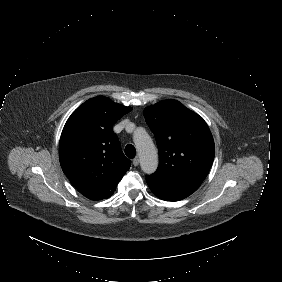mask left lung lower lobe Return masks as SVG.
Returning a JSON list of instances; mask_svg holds the SVG:
<instances>
[{
    "mask_svg": "<svg viewBox=\"0 0 282 282\" xmlns=\"http://www.w3.org/2000/svg\"><path fill=\"white\" fill-rule=\"evenodd\" d=\"M146 181L158 198L166 201L184 199L196 191L201 183L183 179H170L157 175H147Z\"/></svg>",
    "mask_w": 282,
    "mask_h": 282,
    "instance_id": "1",
    "label": "left lung lower lobe"
}]
</instances>
